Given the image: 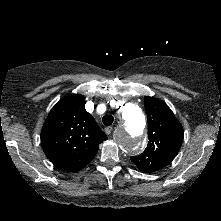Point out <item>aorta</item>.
<instances>
[{
	"label": "aorta",
	"instance_id": "aorta-1",
	"mask_svg": "<svg viewBox=\"0 0 221 221\" xmlns=\"http://www.w3.org/2000/svg\"><path fill=\"white\" fill-rule=\"evenodd\" d=\"M122 123L117 142L129 154H137L144 146L146 120L142 110L134 103L125 102L120 108Z\"/></svg>",
	"mask_w": 221,
	"mask_h": 221
}]
</instances>
